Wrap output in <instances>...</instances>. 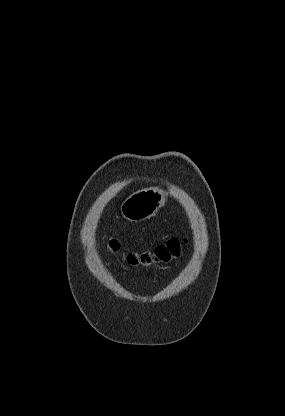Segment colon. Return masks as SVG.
<instances>
[{
    "label": "colon",
    "mask_w": 285,
    "mask_h": 416,
    "mask_svg": "<svg viewBox=\"0 0 285 416\" xmlns=\"http://www.w3.org/2000/svg\"><path fill=\"white\" fill-rule=\"evenodd\" d=\"M109 249L117 252L120 244L115 239L108 240ZM182 250V241L178 238H172L166 243L157 246L151 252L145 253H128L125 255L126 261L133 266H148L157 263H168L180 256Z\"/></svg>",
    "instance_id": "1"
}]
</instances>
